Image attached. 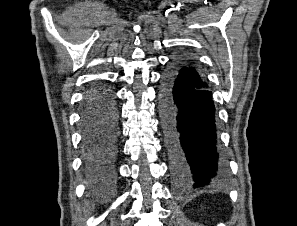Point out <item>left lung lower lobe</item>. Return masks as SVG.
I'll return each mask as SVG.
<instances>
[{"label":"left lung lower lobe","mask_w":297,"mask_h":226,"mask_svg":"<svg viewBox=\"0 0 297 226\" xmlns=\"http://www.w3.org/2000/svg\"><path fill=\"white\" fill-rule=\"evenodd\" d=\"M179 60L163 75L160 115L174 180L202 187L224 178L218 150L215 107L206 87H194L178 74Z\"/></svg>","instance_id":"left-lung-lower-lobe-1"}]
</instances>
